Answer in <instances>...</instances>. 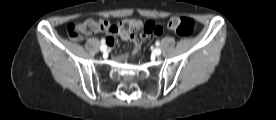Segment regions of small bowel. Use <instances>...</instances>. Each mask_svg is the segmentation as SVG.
I'll return each instance as SVG.
<instances>
[{
	"mask_svg": "<svg viewBox=\"0 0 276 120\" xmlns=\"http://www.w3.org/2000/svg\"><path fill=\"white\" fill-rule=\"evenodd\" d=\"M148 37H149V36L146 35V34H143V35H142V38H143V39H146V38H148ZM125 39L133 40V42H134V44H135V49H134V51L137 52L138 49H139V47H140V45H139V42L135 39V37L132 36V37L125 38ZM106 42H107V44H108L109 46H113V45L115 44V40H114L112 37L107 38Z\"/></svg>",
	"mask_w": 276,
	"mask_h": 120,
	"instance_id": "obj_1",
	"label": "small bowel"
}]
</instances>
